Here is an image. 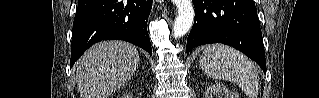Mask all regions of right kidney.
<instances>
[{
    "label": "right kidney",
    "instance_id": "obj_1",
    "mask_svg": "<svg viewBox=\"0 0 319 98\" xmlns=\"http://www.w3.org/2000/svg\"><path fill=\"white\" fill-rule=\"evenodd\" d=\"M124 97H129V96H128V95H127V96H123V98H124Z\"/></svg>",
    "mask_w": 319,
    "mask_h": 98
}]
</instances>
